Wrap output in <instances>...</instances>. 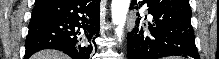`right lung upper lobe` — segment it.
<instances>
[{
  "label": "right lung upper lobe",
  "instance_id": "right-lung-upper-lobe-1",
  "mask_svg": "<svg viewBox=\"0 0 219 59\" xmlns=\"http://www.w3.org/2000/svg\"><path fill=\"white\" fill-rule=\"evenodd\" d=\"M39 1H42V0H36L35 2H39Z\"/></svg>",
  "mask_w": 219,
  "mask_h": 59
}]
</instances>
